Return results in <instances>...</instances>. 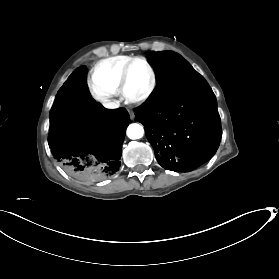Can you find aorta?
Instances as JSON below:
<instances>
[{"instance_id": "aorta-1", "label": "aorta", "mask_w": 279, "mask_h": 279, "mask_svg": "<svg viewBox=\"0 0 279 279\" xmlns=\"http://www.w3.org/2000/svg\"><path fill=\"white\" fill-rule=\"evenodd\" d=\"M126 134L130 139H140L144 135V129L140 124L133 123L128 126Z\"/></svg>"}]
</instances>
